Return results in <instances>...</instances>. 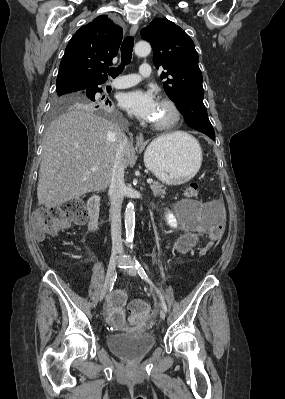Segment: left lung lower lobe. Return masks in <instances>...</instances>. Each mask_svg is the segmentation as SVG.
Listing matches in <instances>:
<instances>
[{"instance_id":"1","label":"left lung lower lobe","mask_w":285,"mask_h":399,"mask_svg":"<svg viewBox=\"0 0 285 399\" xmlns=\"http://www.w3.org/2000/svg\"><path fill=\"white\" fill-rule=\"evenodd\" d=\"M212 140H215V134L209 136Z\"/></svg>"}]
</instances>
